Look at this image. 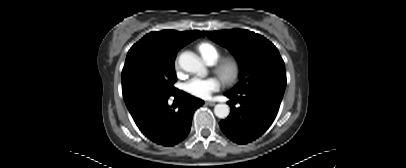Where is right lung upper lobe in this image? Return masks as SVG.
Listing matches in <instances>:
<instances>
[{"label":"right lung upper lobe","instance_id":"right-lung-upper-lobe-1","mask_svg":"<svg viewBox=\"0 0 406 168\" xmlns=\"http://www.w3.org/2000/svg\"><path fill=\"white\" fill-rule=\"evenodd\" d=\"M203 36L200 31L177 32L173 30H163L146 34L141 40L132 46L128 55L134 53H146L161 59H174L180 48Z\"/></svg>","mask_w":406,"mask_h":168}]
</instances>
